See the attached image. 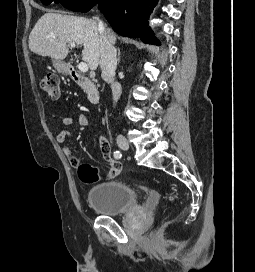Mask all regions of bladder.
I'll return each instance as SVG.
<instances>
[{
	"label": "bladder",
	"instance_id": "bladder-1",
	"mask_svg": "<svg viewBox=\"0 0 255 272\" xmlns=\"http://www.w3.org/2000/svg\"><path fill=\"white\" fill-rule=\"evenodd\" d=\"M86 198L90 206L102 216H119L138 204L135 189L117 181L94 186Z\"/></svg>",
	"mask_w": 255,
	"mask_h": 272
}]
</instances>
